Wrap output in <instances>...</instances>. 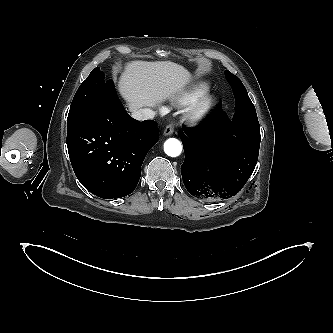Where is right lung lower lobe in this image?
Listing matches in <instances>:
<instances>
[{
  "mask_svg": "<svg viewBox=\"0 0 333 333\" xmlns=\"http://www.w3.org/2000/svg\"><path fill=\"white\" fill-rule=\"evenodd\" d=\"M158 141L156 122H139L125 111L114 84L88 115L67 127V147L76 177L101 198L134 191L147 152Z\"/></svg>",
  "mask_w": 333,
  "mask_h": 333,
  "instance_id": "right-lung-lower-lobe-1",
  "label": "right lung lower lobe"
}]
</instances>
